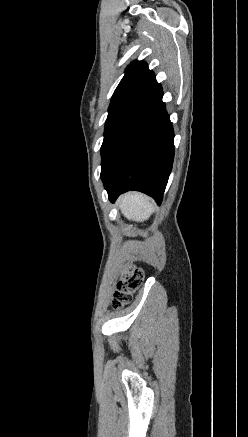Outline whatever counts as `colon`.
<instances>
[{
    "label": "colon",
    "mask_w": 248,
    "mask_h": 437,
    "mask_svg": "<svg viewBox=\"0 0 248 437\" xmlns=\"http://www.w3.org/2000/svg\"><path fill=\"white\" fill-rule=\"evenodd\" d=\"M144 281V271L138 267L127 268L119 280L113 294L112 305L114 308H121L128 304L136 290Z\"/></svg>",
    "instance_id": "obj_1"
}]
</instances>
